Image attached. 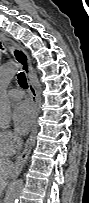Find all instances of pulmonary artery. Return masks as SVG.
<instances>
[{
  "mask_svg": "<svg viewBox=\"0 0 89 203\" xmlns=\"http://www.w3.org/2000/svg\"><path fill=\"white\" fill-rule=\"evenodd\" d=\"M8 95L13 99H21L24 96V92L21 89H11L8 91Z\"/></svg>",
  "mask_w": 89,
  "mask_h": 203,
  "instance_id": "e3ab8cb5",
  "label": "pulmonary artery"
}]
</instances>
